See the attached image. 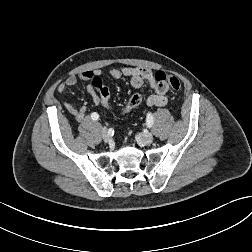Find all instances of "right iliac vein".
I'll return each instance as SVG.
<instances>
[{
    "instance_id": "63e3f726",
    "label": "right iliac vein",
    "mask_w": 252,
    "mask_h": 252,
    "mask_svg": "<svg viewBox=\"0 0 252 252\" xmlns=\"http://www.w3.org/2000/svg\"><path fill=\"white\" fill-rule=\"evenodd\" d=\"M102 136H103L104 141H106V142H109V141L111 140V136H110V134L107 132L106 129L103 130Z\"/></svg>"
}]
</instances>
